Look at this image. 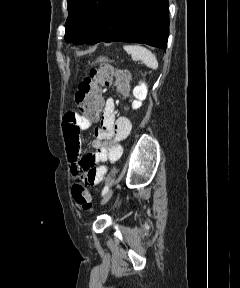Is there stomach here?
Listing matches in <instances>:
<instances>
[{"label": "stomach", "mask_w": 240, "mask_h": 288, "mask_svg": "<svg viewBox=\"0 0 240 288\" xmlns=\"http://www.w3.org/2000/svg\"><path fill=\"white\" fill-rule=\"evenodd\" d=\"M97 61L102 62V61H106V59L104 57H100Z\"/></svg>", "instance_id": "1"}]
</instances>
